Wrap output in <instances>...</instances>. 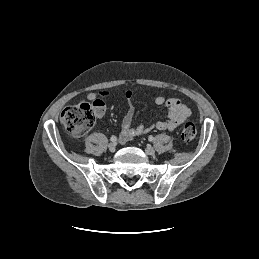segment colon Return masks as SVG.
<instances>
[{"label":"colon","instance_id":"5ec220e1","mask_svg":"<svg viewBox=\"0 0 259 259\" xmlns=\"http://www.w3.org/2000/svg\"><path fill=\"white\" fill-rule=\"evenodd\" d=\"M62 125L74 136L86 134L95 122V105L78 103L66 107L60 116ZM197 136V129L193 123H186L181 131V137L185 141H192Z\"/></svg>","mask_w":259,"mask_h":259}]
</instances>
